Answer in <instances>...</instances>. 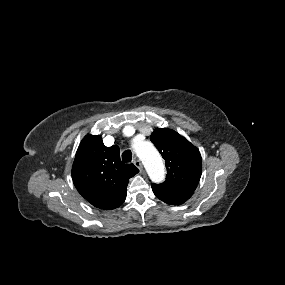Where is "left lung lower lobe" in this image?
I'll list each match as a JSON object with an SVG mask.
<instances>
[{"label":"left lung lower lobe","mask_w":285,"mask_h":285,"mask_svg":"<svg viewBox=\"0 0 285 285\" xmlns=\"http://www.w3.org/2000/svg\"><path fill=\"white\" fill-rule=\"evenodd\" d=\"M152 190L157 198L171 205L182 204L187 201L193 194V192L167 189L156 185H152Z\"/></svg>","instance_id":"1"}]
</instances>
